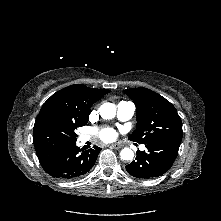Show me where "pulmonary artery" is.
Masks as SVG:
<instances>
[{"instance_id": "e3ab8cb5", "label": "pulmonary artery", "mask_w": 221, "mask_h": 221, "mask_svg": "<svg viewBox=\"0 0 221 221\" xmlns=\"http://www.w3.org/2000/svg\"><path fill=\"white\" fill-rule=\"evenodd\" d=\"M135 113V104L131 101H121L117 105V117L121 121H127L132 118ZM80 140L85 142L89 140V136H81ZM141 150L145 149L144 145L140 146Z\"/></svg>"}]
</instances>
